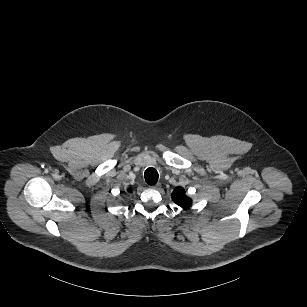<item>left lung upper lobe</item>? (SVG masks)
<instances>
[{"label": "left lung upper lobe", "instance_id": "obj_1", "mask_svg": "<svg viewBox=\"0 0 307 307\" xmlns=\"http://www.w3.org/2000/svg\"><path fill=\"white\" fill-rule=\"evenodd\" d=\"M173 201L180 207L187 209L191 206L192 200L186 196L185 191L181 187H177L172 192Z\"/></svg>", "mask_w": 307, "mask_h": 307}]
</instances>
